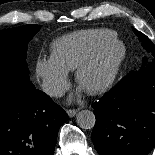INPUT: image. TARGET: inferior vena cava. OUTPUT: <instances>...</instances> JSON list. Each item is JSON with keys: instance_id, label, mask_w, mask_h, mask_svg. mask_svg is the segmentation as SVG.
Returning a JSON list of instances; mask_svg holds the SVG:
<instances>
[{"instance_id": "1", "label": "inferior vena cava", "mask_w": 155, "mask_h": 155, "mask_svg": "<svg viewBox=\"0 0 155 155\" xmlns=\"http://www.w3.org/2000/svg\"><path fill=\"white\" fill-rule=\"evenodd\" d=\"M42 89L45 93L54 97H61L65 93L64 88L60 84L55 82H43Z\"/></svg>"}]
</instances>
